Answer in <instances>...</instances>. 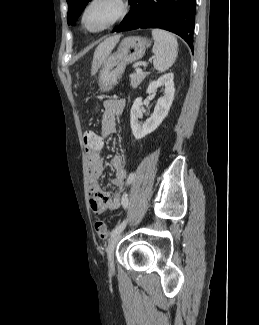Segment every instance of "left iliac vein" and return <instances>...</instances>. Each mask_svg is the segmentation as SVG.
Listing matches in <instances>:
<instances>
[{
  "label": "left iliac vein",
  "instance_id": "4c4485c4",
  "mask_svg": "<svg viewBox=\"0 0 259 325\" xmlns=\"http://www.w3.org/2000/svg\"><path fill=\"white\" fill-rule=\"evenodd\" d=\"M121 238V232L118 234L114 235L111 240L109 241L108 247H107V258H108V267H109V272L111 274H114L115 272V264H114V251L117 246V243L119 242Z\"/></svg>",
  "mask_w": 259,
  "mask_h": 325
}]
</instances>
